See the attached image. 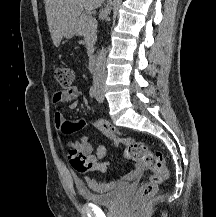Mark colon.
<instances>
[{
    "instance_id": "obj_1",
    "label": "colon",
    "mask_w": 216,
    "mask_h": 217,
    "mask_svg": "<svg viewBox=\"0 0 216 217\" xmlns=\"http://www.w3.org/2000/svg\"><path fill=\"white\" fill-rule=\"evenodd\" d=\"M54 77L63 88L72 87L74 75L70 68L56 67L54 69ZM83 125V121L69 123L65 125L64 131H74ZM94 125L114 143L125 148L127 160L139 165L142 169L152 171L149 181L144 183L134 196L135 204L139 205L146 202L157 192L159 185L164 183L169 177L163 154L159 151L150 150L144 142L130 138L103 120L95 121ZM68 160L71 166L80 173L95 170L101 171L104 168L103 163H95L90 156L75 148L69 150Z\"/></svg>"
}]
</instances>
